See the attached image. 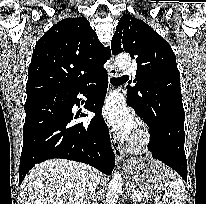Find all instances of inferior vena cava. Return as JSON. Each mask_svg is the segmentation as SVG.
Returning a JSON list of instances; mask_svg holds the SVG:
<instances>
[{"mask_svg":"<svg viewBox=\"0 0 206 204\" xmlns=\"http://www.w3.org/2000/svg\"><path fill=\"white\" fill-rule=\"evenodd\" d=\"M92 170H93V176L87 186V191L89 193V196H92L95 193L100 179L99 172L95 169Z\"/></svg>","mask_w":206,"mask_h":204,"instance_id":"602c4592","label":"inferior vena cava"}]
</instances>
